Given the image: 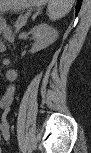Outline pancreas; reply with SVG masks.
<instances>
[{
    "instance_id": "1",
    "label": "pancreas",
    "mask_w": 91,
    "mask_h": 153,
    "mask_svg": "<svg viewBox=\"0 0 91 153\" xmlns=\"http://www.w3.org/2000/svg\"><path fill=\"white\" fill-rule=\"evenodd\" d=\"M28 14L24 16H20L15 24L16 32L19 31V29L24 26L27 22Z\"/></svg>"
}]
</instances>
